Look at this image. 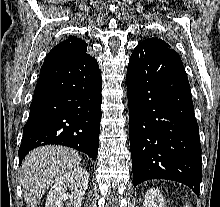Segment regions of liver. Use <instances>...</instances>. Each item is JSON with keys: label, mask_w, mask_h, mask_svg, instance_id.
<instances>
[{"label": "liver", "mask_w": 220, "mask_h": 207, "mask_svg": "<svg viewBox=\"0 0 220 207\" xmlns=\"http://www.w3.org/2000/svg\"><path fill=\"white\" fill-rule=\"evenodd\" d=\"M80 164L79 154L63 146H42L29 152L20 167V183L26 206L37 207L46 190Z\"/></svg>", "instance_id": "liver-1"}]
</instances>
